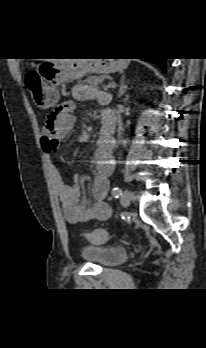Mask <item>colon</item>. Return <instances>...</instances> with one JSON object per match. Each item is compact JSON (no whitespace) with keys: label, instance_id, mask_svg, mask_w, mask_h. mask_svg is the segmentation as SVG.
I'll use <instances>...</instances> for the list:
<instances>
[{"label":"colon","instance_id":"obj_1","mask_svg":"<svg viewBox=\"0 0 206 348\" xmlns=\"http://www.w3.org/2000/svg\"><path fill=\"white\" fill-rule=\"evenodd\" d=\"M25 84L31 96L37 100L43 91V82L40 74L36 71H29L25 75ZM93 243H103L108 239V233L104 230H95L87 235Z\"/></svg>","mask_w":206,"mask_h":348}]
</instances>
